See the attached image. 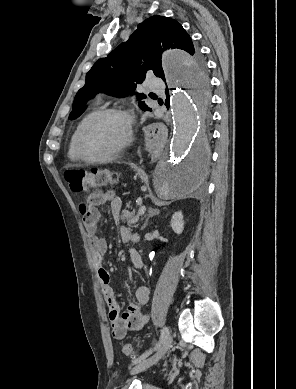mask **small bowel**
<instances>
[{
    "mask_svg": "<svg viewBox=\"0 0 296 389\" xmlns=\"http://www.w3.org/2000/svg\"><path fill=\"white\" fill-rule=\"evenodd\" d=\"M107 202L110 203V210L114 219L118 220L123 201L120 197L115 196L113 191H94L88 194L80 204V212L83 225L89 237L102 294L108 306L111 333L115 339L121 340L128 331L140 330L149 320L148 315L140 312V306L146 305L149 302L150 291L146 286L138 287L135 292L136 302H130L128 307L123 312H120L114 291L110 285L109 273L102 265L103 255L107 250V243L97 234V222L100 216L99 208ZM121 236L124 241H135L137 239L125 227L121 228ZM130 257L135 268L141 269L143 267L142 259L135 250L130 252Z\"/></svg>",
    "mask_w": 296,
    "mask_h": 389,
    "instance_id": "1",
    "label": "small bowel"
}]
</instances>
